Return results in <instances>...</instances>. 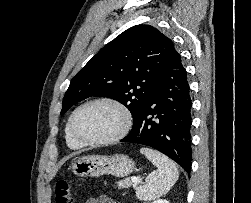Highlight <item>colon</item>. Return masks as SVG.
Returning <instances> with one entry per match:
<instances>
[{
    "label": "colon",
    "mask_w": 251,
    "mask_h": 203,
    "mask_svg": "<svg viewBox=\"0 0 251 203\" xmlns=\"http://www.w3.org/2000/svg\"><path fill=\"white\" fill-rule=\"evenodd\" d=\"M55 203H74L73 194L69 184L59 181L55 188Z\"/></svg>",
    "instance_id": "colon-1"
}]
</instances>
